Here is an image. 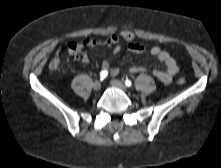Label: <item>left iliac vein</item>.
I'll use <instances>...</instances> for the list:
<instances>
[{"mask_svg": "<svg viewBox=\"0 0 221 168\" xmlns=\"http://www.w3.org/2000/svg\"><path fill=\"white\" fill-rule=\"evenodd\" d=\"M111 84L114 87L119 88V89H121V90H123L125 92L128 91L127 86L123 82H121L120 80L114 79V80L111 81Z\"/></svg>", "mask_w": 221, "mask_h": 168, "instance_id": "4c4485c4", "label": "left iliac vein"}]
</instances>
